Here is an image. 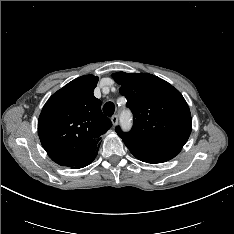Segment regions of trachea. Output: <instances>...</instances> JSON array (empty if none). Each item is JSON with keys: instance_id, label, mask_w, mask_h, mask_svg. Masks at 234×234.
Wrapping results in <instances>:
<instances>
[{"instance_id": "trachea-1", "label": "trachea", "mask_w": 234, "mask_h": 234, "mask_svg": "<svg viewBox=\"0 0 234 234\" xmlns=\"http://www.w3.org/2000/svg\"><path fill=\"white\" fill-rule=\"evenodd\" d=\"M115 105L112 102H107L103 106V112L106 116L111 117L114 114Z\"/></svg>"}]
</instances>
